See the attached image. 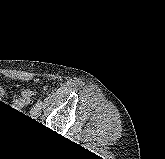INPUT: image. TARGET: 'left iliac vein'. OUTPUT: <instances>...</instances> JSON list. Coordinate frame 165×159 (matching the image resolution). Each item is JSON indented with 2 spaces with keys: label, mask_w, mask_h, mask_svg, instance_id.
Instances as JSON below:
<instances>
[{
  "label": "left iliac vein",
  "mask_w": 165,
  "mask_h": 159,
  "mask_svg": "<svg viewBox=\"0 0 165 159\" xmlns=\"http://www.w3.org/2000/svg\"><path fill=\"white\" fill-rule=\"evenodd\" d=\"M38 106H40V105L38 104ZM38 106H35V110H36V109H39V107H38Z\"/></svg>",
  "instance_id": "left-iliac-vein-1"
}]
</instances>
